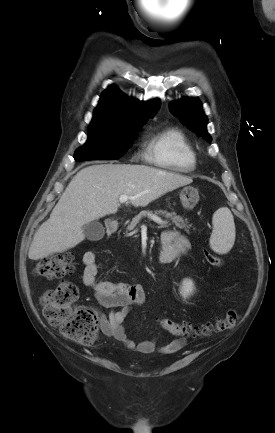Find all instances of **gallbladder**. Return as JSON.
Here are the masks:
<instances>
[{"mask_svg": "<svg viewBox=\"0 0 275 433\" xmlns=\"http://www.w3.org/2000/svg\"><path fill=\"white\" fill-rule=\"evenodd\" d=\"M83 232L90 241H98L103 238L105 229L99 221H92L83 226Z\"/></svg>", "mask_w": 275, "mask_h": 433, "instance_id": "1", "label": "gallbladder"}]
</instances>
